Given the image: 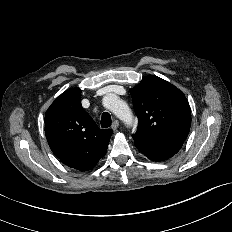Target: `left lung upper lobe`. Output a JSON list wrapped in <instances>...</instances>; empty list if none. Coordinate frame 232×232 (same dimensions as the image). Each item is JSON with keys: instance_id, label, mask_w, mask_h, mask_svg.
Segmentation results:
<instances>
[{"instance_id": "1", "label": "left lung upper lobe", "mask_w": 232, "mask_h": 232, "mask_svg": "<svg viewBox=\"0 0 232 232\" xmlns=\"http://www.w3.org/2000/svg\"><path fill=\"white\" fill-rule=\"evenodd\" d=\"M138 128L135 143L157 145L184 143L191 125V110L185 95L174 85L148 76L130 89Z\"/></svg>"}]
</instances>
